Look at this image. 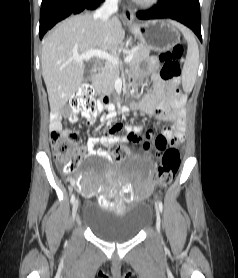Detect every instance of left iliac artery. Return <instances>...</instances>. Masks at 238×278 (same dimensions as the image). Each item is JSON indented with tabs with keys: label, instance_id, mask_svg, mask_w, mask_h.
Returning a JSON list of instances; mask_svg holds the SVG:
<instances>
[{
	"label": "left iliac artery",
	"instance_id": "obj_1",
	"mask_svg": "<svg viewBox=\"0 0 238 278\" xmlns=\"http://www.w3.org/2000/svg\"><path fill=\"white\" fill-rule=\"evenodd\" d=\"M158 205H159V210H160V212H162V210H163V204H162V202L159 201V202H158Z\"/></svg>",
	"mask_w": 238,
	"mask_h": 278
}]
</instances>
